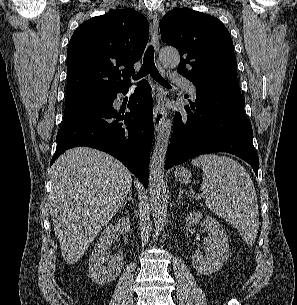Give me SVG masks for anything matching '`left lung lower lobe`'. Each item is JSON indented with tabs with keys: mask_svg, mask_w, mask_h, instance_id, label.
Masks as SVG:
<instances>
[{
	"mask_svg": "<svg viewBox=\"0 0 297 305\" xmlns=\"http://www.w3.org/2000/svg\"><path fill=\"white\" fill-rule=\"evenodd\" d=\"M244 105L237 80L197 89L196 103L185 106L195 113H175L165 168L201 154L228 152L250 164L258 175L259 158Z\"/></svg>",
	"mask_w": 297,
	"mask_h": 305,
	"instance_id": "1",
	"label": "left lung lower lobe"
}]
</instances>
